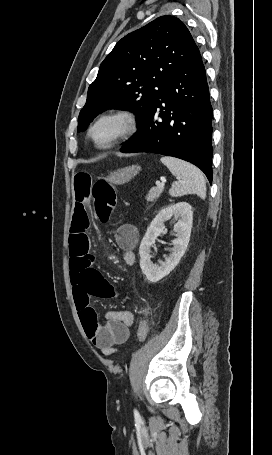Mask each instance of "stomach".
Masks as SVG:
<instances>
[{"label": "stomach", "mask_w": 272, "mask_h": 455, "mask_svg": "<svg viewBox=\"0 0 272 455\" xmlns=\"http://www.w3.org/2000/svg\"><path fill=\"white\" fill-rule=\"evenodd\" d=\"M141 170V167L138 165H132L129 167H125L123 169H119L117 171L111 172L110 175L107 177V180L110 183L119 185V184H124L126 182H129L133 177H135L139 171Z\"/></svg>", "instance_id": "obj_1"}]
</instances>
